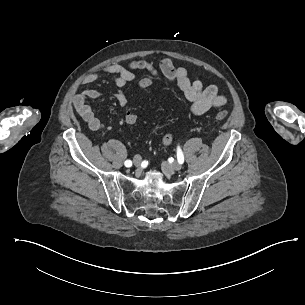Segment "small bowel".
<instances>
[{
  "label": "small bowel",
  "instance_id": "small-bowel-1",
  "mask_svg": "<svg viewBox=\"0 0 305 305\" xmlns=\"http://www.w3.org/2000/svg\"><path fill=\"white\" fill-rule=\"evenodd\" d=\"M145 70L150 75L157 76L159 71L156 67L145 60H133L127 67L118 64H109L100 68L96 73L87 76L85 83H93L100 79L103 75L113 77L117 86L115 98L121 106H125L128 102L127 95L123 89L129 82L135 79V71ZM159 70L163 75L171 77L178 87L182 90L189 104L190 112L193 115H202L213 108H219L226 104L227 98L221 95L215 85L204 87L200 78L190 80L188 71L185 67H176L171 58H163L159 64ZM101 92L97 89H86L77 94L73 98L75 111L83 118L88 128L92 131L104 129L105 125L95 114L93 109L88 105L89 99L98 98Z\"/></svg>",
  "mask_w": 305,
  "mask_h": 305
}]
</instances>
